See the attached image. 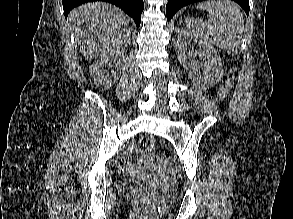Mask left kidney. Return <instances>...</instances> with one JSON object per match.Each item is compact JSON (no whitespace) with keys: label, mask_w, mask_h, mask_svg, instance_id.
I'll return each instance as SVG.
<instances>
[{"label":"left kidney","mask_w":293,"mask_h":219,"mask_svg":"<svg viewBox=\"0 0 293 219\" xmlns=\"http://www.w3.org/2000/svg\"><path fill=\"white\" fill-rule=\"evenodd\" d=\"M174 45L177 57L188 71L190 79L202 90H207L217 84L223 74L221 58L217 50L207 41L199 38L184 28H176ZM185 39H191L199 45L201 51L197 54L201 62L193 59L194 51H187Z\"/></svg>","instance_id":"obj_1"}]
</instances>
